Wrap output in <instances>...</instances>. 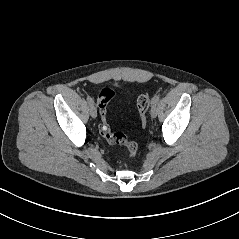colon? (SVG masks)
Returning <instances> with one entry per match:
<instances>
[{"label": "colon", "mask_w": 239, "mask_h": 239, "mask_svg": "<svg viewBox=\"0 0 239 239\" xmlns=\"http://www.w3.org/2000/svg\"><path fill=\"white\" fill-rule=\"evenodd\" d=\"M115 92L110 88H104L101 90L97 98V106L100 115L99 129L101 135L110 144L125 146L129 152L131 158H135L138 153V145L136 142L129 140L121 132H113L107 122V105L113 98ZM150 105V97L148 95H141L137 100V109L140 114V118L143 126L147 121V112Z\"/></svg>", "instance_id": "colon-1"}]
</instances>
